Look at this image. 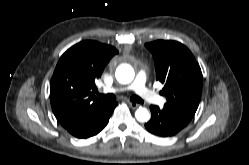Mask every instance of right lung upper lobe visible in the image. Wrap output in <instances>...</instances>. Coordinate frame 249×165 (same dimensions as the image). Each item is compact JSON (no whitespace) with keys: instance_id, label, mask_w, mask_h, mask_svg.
I'll return each instance as SVG.
<instances>
[{"instance_id":"right-lung-upper-lobe-1","label":"right lung upper lobe","mask_w":249,"mask_h":165,"mask_svg":"<svg viewBox=\"0 0 249 165\" xmlns=\"http://www.w3.org/2000/svg\"><path fill=\"white\" fill-rule=\"evenodd\" d=\"M117 53L113 46L83 41L61 56L50 82V101L56 119L64 128L107 103L94 95L95 81Z\"/></svg>"}]
</instances>
